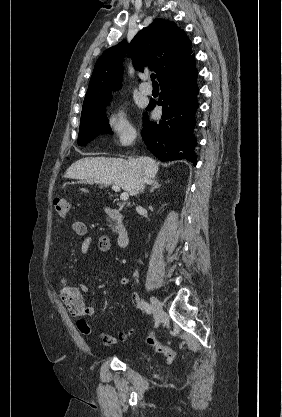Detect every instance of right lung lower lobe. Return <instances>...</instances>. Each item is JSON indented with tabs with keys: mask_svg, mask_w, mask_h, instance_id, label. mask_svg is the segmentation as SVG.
Here are the masks:
<instances>
[{
	"mask_svg": "<svg viewBox=\"0 0 282 417\" xmlns=\"http://www.w3.org/2000/svg\"><path fill=\"white\" fill-rule=\"evenodd\" d=\"M195 61L180 66L163 77L158 105L162 106V118L150 122L144 114L142 137L148 149L161 161L187 159L197 163L194 147L196 138L193 129L198 108ZM150 102L147 110L155 107Z\"/></svg>",
	"mask_w": 282,
	"mask_h": 417,
	"instance_id": "obj_1",
	"label": "right lung lower lobe"
}]
</instances>
